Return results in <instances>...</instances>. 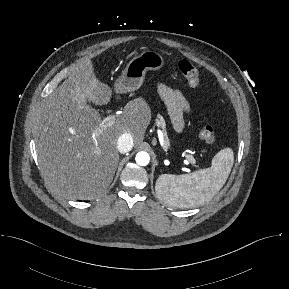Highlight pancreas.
<instances>
[{
	"label": "pancreas",
	"mask_w": 289,
	"mask_h": 289,
	"mask_svg": "<svg viewBox=\"0 0 289 289\" xmlns=\"http://www.w3.org/2000/svg\"><path fill=\"white\" fill-rule=\"evenodd\" d=\"M155 123H156L157 126H159V127H161V128L163 129V134H164V137H165L164 147H165L166 149L169 148L170 142H169V139H168V137H167V133H166V131H165V121H164V119L160 117V119H159V120H156Z\"/></svg>",
	"instance_id": "pancreas-1"
}]
</instances>
